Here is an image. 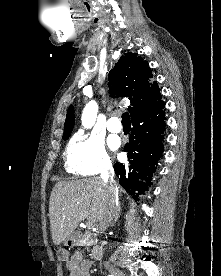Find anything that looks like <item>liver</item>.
Returning <instances> with one entry per match:
<instances>
[{
    "instance_id": "obj_1",
    "label": "liver",
    "mask_w": 221,
    "mask_h": 276,
    "mask_svg": "<svg viewBox=\"0 0 221 276\" xmlns=\"http://www.w3.org/2000/svg\"><path fill=\"white\" fill-rule=\"evenodd\" d=\"M108 187L109 184L100 177L60 181L54 186L49 201V218L55 245L65 241L81 221L87 219L89 223H95L100 220ZM119 191L123 192L122 189Z\"/></svg>"
}]
</instances>
